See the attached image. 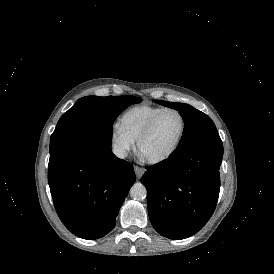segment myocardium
<instances>
[{"mask_svg": "<svg viewBox=\"0 0 274 274\" xmlns=\"http://www.w3.org/2000/svg\"><path fill=\"white\" fill-rule=\"evenodd\" d=\"M166 112H175L177 113L180 118H181V129L180 132L172 146V148L170 149V151L165 154L164 156L157 158V159H146V158H142L140 155V148H141V144L144 141V139L152 132V130L154 129L155 125L157 124V122L159 121V119L166 113ZM186 126H187V122H186V118L185 115L183 114V112L181 110H179L178 108H174V107H166L163 108L160 112H158L149 122L148 124L145 126V128L140 132V134L138 135L137 139H136V152L139 156V158L146 164L148 165H152V166H157V165H161L166 163L167 161H169L174 154L176 153V151L179 148V145L184 137L185 131H186Z\"/></svg>", "mask_w": 274, "mask_h": 274, "instance_id": "myocardium-1", "label": "myocardium"}]
</instances>
